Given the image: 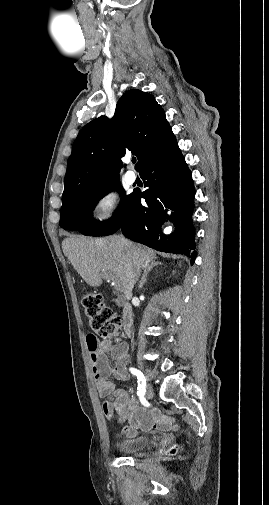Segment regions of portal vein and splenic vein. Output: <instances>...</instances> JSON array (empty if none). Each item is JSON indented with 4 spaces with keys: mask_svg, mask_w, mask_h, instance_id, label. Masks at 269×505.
<instances>
[{
    "mask_svg": "<svg viewBox=\"0 0 269 505\" xmlns=\"http://www.w3.org/2000/svg\"><path fill=\"white\" fill-rule=\"evenodd\" d=\"M103 278L108 281H110V280L114 281V283H112V284L114 285L115 290H117V291L121 290V285L119 283L115 282V280L112 276L105 275V276H103Z\"/></svg>",
    "mask_w": 269,
    "mask_h": 505,
    "instance_id": "portal-vein-and-splenic-vein-1",
    "label": "portal vein and splenic vein"
}]
</instances>
